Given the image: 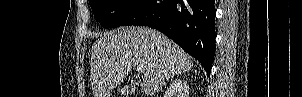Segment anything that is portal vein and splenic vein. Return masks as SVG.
<instances>
[{"mask_svg":"<svg viewBox=\"0 0 302 97\" xmlns=\"http://www.w3.org/2000/svg\"><path fill=\"white\" fill-rule=\"evenodd\" d=\"M136 70L139 72V73H144L145 70H146V67L144 65H137L136 66Z\"/></svg>","mask_w":302,"mask_h":97,"instance_id":"18ae733b","label":"portal vein and splenic vein"}]
</instances>
